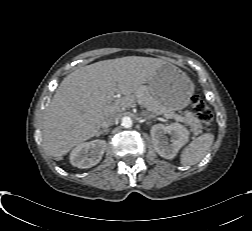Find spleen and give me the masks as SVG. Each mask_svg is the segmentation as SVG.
Here are the masks:
<instances>
[{
  "instance_id": "spleen-1",
  "label": "spleen",
  "mask_w": 252,
  "mask_h": 231,
  "mask_svg": "<svg viewBox=\"0 0 252 231\" xmlns=\"http://www.w3.org/2000/svg\"><path fill=\"white\" fill-rule=\"evenodd\" d=\"M214 141V135L205 133L191 141L181 152L180 163L183 166L195 165L207 154Z\"/></svg>"
}]
</instances>
